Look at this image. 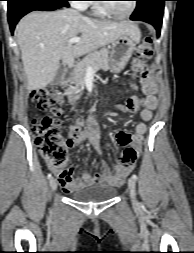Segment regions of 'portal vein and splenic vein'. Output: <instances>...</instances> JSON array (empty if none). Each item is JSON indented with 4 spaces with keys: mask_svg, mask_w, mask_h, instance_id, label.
<instances>
[{
    "mask_svg": "<svg viewBox=\"0 0 194 253\" xmlns=\"http://www.w3.org/2000/svg\"><path fill=\"white\" fill-rule=\"evenodd\" d=\"M80 40L81 39L79 37H73V38L69 39L68 44L80 42ZM88 68L90 69L91 67H88Z\"/></svg>",
    "mask_w": 194,
    "mask_h": 253,
    "instance_id": "18ae733b",
    "label": "portal vein and splenic vein"
}]
</instances>
